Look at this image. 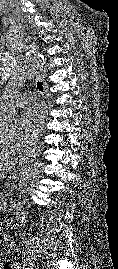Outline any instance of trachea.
Returning a JSON list of instances; mask_svg holds the SVG:
<instances>
[{
    "instance_id": "3493384b",
    "label": "trachea",
    "mask_w": 118,
    "mask_h": 269,
    "mask_svg": "<svg viewBox=\"0 0 118 269\" xmlns=\"http://www.w3.org/2000/svg\"><path fill=\"white\" fill-rule=\"evenodd\" d=\"M37 88L39 91L43 92V83L42 82H37Z\"/></svg>"
}]
</instances>
